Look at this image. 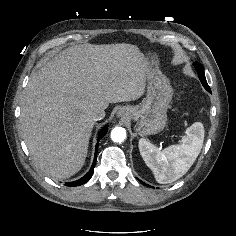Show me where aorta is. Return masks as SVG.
I'll return each instance as SVG.
<instances>
[{"instance_id": "aorta-1", "label": "aorta", "mask_w": 236, "mask_h": 236, "mask_svg": "<svg viewBox=\"0 0 236 236\" xmlns=\"http://www.w3.org/2000/svg\"><path fill=\"white\" fill-rule=\"evenodd\" d=\"M111 139L113 142L121 143L126 139V130L122 127H115L111 131Z\"/></svg>"}]
</instances>
